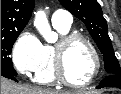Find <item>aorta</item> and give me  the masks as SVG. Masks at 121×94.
<instances>
[{"label": "aorta", "instance_id": "1", "mask_svg": "<svg viewBox=\"0 0 121 94\" xmlns=\"http://www.w3.org/2000/svg\"><path fill=\"white\" fill-rule=\"evenodd\" d=\"M34 25L48 43H53L57 40V34L51 30L44 11L39 10L35 13Z\"/></svg>", "mask_w": 121, "mask_h": 94}]
</instances>
